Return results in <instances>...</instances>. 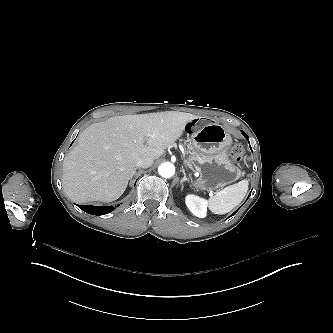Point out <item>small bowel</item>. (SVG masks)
<instances>
[{
    "mask_svg": "<svg viewBox=\"0 0 333 333\" xmlns=\"http://www.w3.org/2000/svg\"><path fill=\"white\" fill-rule=\"evenodd\" d=\"M183 128L187 132H194L197 130L198 125L194 120L189 119L184 123Z\"/></svg>",
    "mask_w": 333,
    "mask_h": 333,
    "instance_id": "obj_1",
    "label": "small bowel"
}]
</instances>
